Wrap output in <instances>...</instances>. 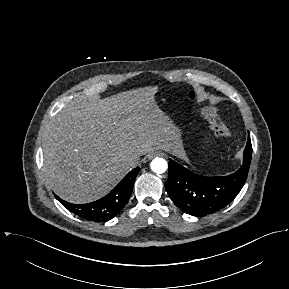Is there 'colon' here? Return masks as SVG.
<instances>
[{
	"instance_id": "5ec220e1",
	"label": "colon",
	"mask_w": 289,
	"mask_h": 289,
	"mask_svg": "<svg viewBox=\"0 0 289 289\" xmlns=\"http://www.w3.org/2000/svg\"><path fill=\"white\" fill-rule=\"evenodd\" d=\"M189 98H195V92H189ZM204 115L210 125V128L214 132L215 135L220 137H229L231 135L230 130L224 124V122L220 119L216 109L214 107H209L204 110Z\"/></svg>"
}]
</instances>
